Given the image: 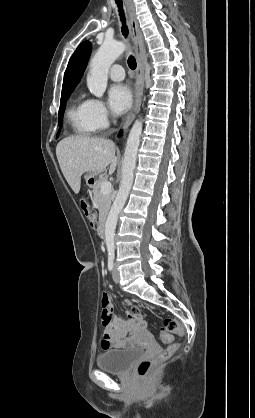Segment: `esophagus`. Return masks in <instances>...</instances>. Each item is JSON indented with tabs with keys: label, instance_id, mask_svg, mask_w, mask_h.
I'll return each mask as SVG.
<instances>
[{
	"label": "esophagus",
	"instance_id": "1",
	"mask_svg": "<svg viewBox=\"0 0 255 418\" xmlns=\"http://www.w3.org/2000/svg\"><path fill=\"white\" fill-rule=\"evenodd\" d=\"M127 6H128V14H129L130 35H131V39H132L135 54H136L137 69H136L134 105L132 107V110L126 117V120L123 125L124 130H126L129 127L135 115L140 110L143 88H144V62H145V46H144L141 32L139 30L136 13L131 3L128 2Z\"/></svg>",
	"mask_w": 255,
	"mask_h": 418
}]
</instances>
